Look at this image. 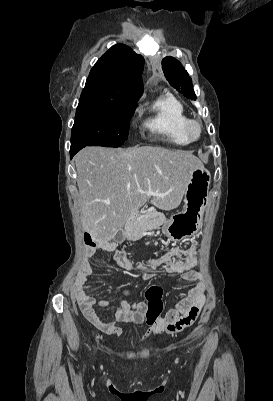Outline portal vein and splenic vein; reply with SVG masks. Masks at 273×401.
<instances>
[{"label": "portal vein and splenic vein", "instance_id": "portal-vein-and-splenic-vein-1", "mask_svg": "<svg viewBox=\"0 0 273 401\" xmlns=\"http://www.w3.org/2000/svg\"><path fill=\"white\" fill-rule=\"evenodd\" d=\"M146 194H155V192H153V190H147Z\"/></svg>", "mask_w": 273, "mask_h": 401}]
</instances>
